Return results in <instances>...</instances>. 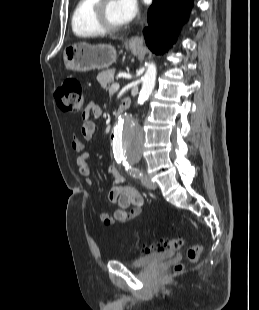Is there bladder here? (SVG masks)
I'll return each mask as SVG.
<instances>
[{
  "mask_svg": "<svg viewBox=\"0 0 259 310\" xmlns=\"http://www.w3.org/2000/svg\"><path fill=\"white\" fill-rule=\"evenodd\" d=\"M175 255L174 252H159V253H150L138 259H135L129 263V266L132 268H145L150 265L159 263L161 261L172 258Z\"/></svg>",
  "mask_w": 259,
  "mask_h": 310,
  "instance_id": "1",
  "label": "bladder"
}]
</instances>
